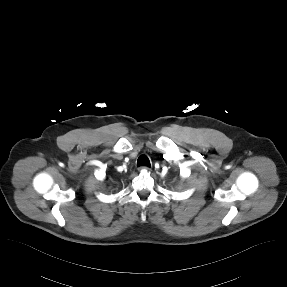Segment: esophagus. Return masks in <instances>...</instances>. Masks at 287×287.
Segmentation results:
<instances>
[{
	"label": "esophagus",
	"instance_id": "esophagus-1",
	"mask_svg": "<svg viewBox=\"0 0 287 287\" xmlns=\"http://www.w3.org/2000/svg\"><path fill=\"white\" fill-rule=\"evenodd\" d=\"M139 170H148V171H150L151 168L148 167V166H141V167H139Z\"/></svg>",
	"mask_w": 287,
	"mask_h": 287
}]
</instances>
